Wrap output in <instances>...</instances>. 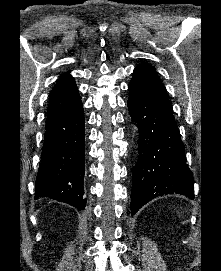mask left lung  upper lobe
<instances>
[{"mask_svg": "<svg viewBox=\"0 0 221 271\" xmlns=\"http://www.w3.org/2000/svg\"><path fill=\"white\" fill-rule=\"evenodd\" d=\"M131 82L139 84L146 89L153 97L157 98L169 107H172L166 94L165 87L160 81L156 71L148 64H139L133 72Z\"/></svg>", "mask_w": 221, "mask_h": 271, "instance_id": "1", "label": "left lung upper lobe"}]
</instances>
